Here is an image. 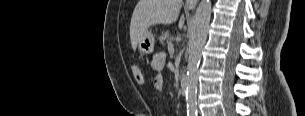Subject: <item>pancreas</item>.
<instances>
[{
    "label": "pancreas",
    "mask_w": 305,
    "mask_h": 116,
    "mask_svg": "<svg viewBox=\"0 0 305 116\" xmlns=\"http://www.w3.org/2000/svg\"><path fill=\"white\" fill-rule=\"evenodd\" d=\"M160 43L164 44L165 42L169 43L171 42V35L169 31L162 32L159 37Z\"/></svg>",
    "instance_id": "obj_1"
}]
</instances>
